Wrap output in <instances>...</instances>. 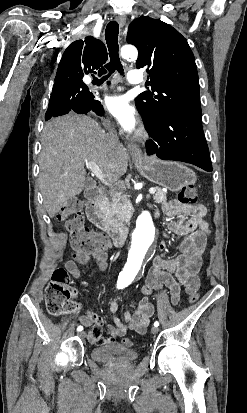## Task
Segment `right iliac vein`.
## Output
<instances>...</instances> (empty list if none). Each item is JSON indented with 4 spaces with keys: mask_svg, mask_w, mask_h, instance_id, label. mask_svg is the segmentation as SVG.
Masks as SVG:
<instances>
[{
    "mask_svg": "<svg viewBox=\"0 0 247 413\" xmlns=\"http://www.w3.org/2000/svg\"><path fill=\"white\" fill-rule=\"evenodd\" d=\"M85 336H86V332H85V331L79 333V337H80V338H85Z\"/></svg>",
    "mask_w": 247,
    "mask_h": 413,
    "instance_id": "1",
    "label": "right iliac vein"
}]
</instances>
